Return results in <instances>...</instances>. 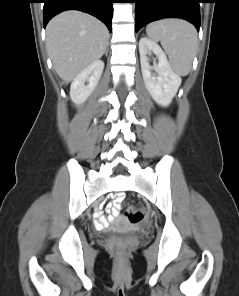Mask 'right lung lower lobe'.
Segmentation results:
<instances>
[{"label": "right lung lower lobe", "mask_w": 239, "mask_h": 296, "mask_svg": "<svg viewBox=\"0 0 239 296\" xmlns=\"http://www.w3.org/2000/svg\"><path fill=\"white\" fill-rule=\"evenodd\" d=\"M44 14L43 24L46 27L49 20L56 14L65 10H80L87 12L106 24L111 32L112 26V4L116 0H43Z\"/></svg>", "instance_id": "98d812e1"}]
</instances>
